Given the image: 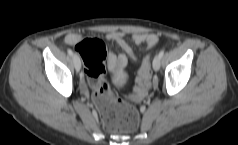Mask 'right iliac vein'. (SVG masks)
<instances>
[{
  "instance_id": "obj_1",
  "label": "right iliac vein",
  "mask_w": 238,
  "mask_h": 145,
  "mask_svg": "<svg viewBox=\"0 0 238 145\" xmlns=\"http://www.w3.org/2000/svg\"><path fill=\"white\" fill-rule=\"evenodd\" d=\"M73 62H74L75 69L79 71L81 69V59L78 54H74Z\"/></svg>"
}]
</instances>
